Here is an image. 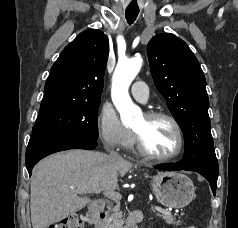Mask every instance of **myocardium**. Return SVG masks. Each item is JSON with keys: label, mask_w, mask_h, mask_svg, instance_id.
<instances>
[{"label": "myocardium", "mask_w": 238, "mask_h": 228, "mask_svg": "<svg viewBox=\"0 0 238 228\" xmlns=\"http://www.w3.org/2000/svg\"><path fill=\"white\" fill-rule=\"evenodd\" d=\"M144 115L147 119H150V120L165 119V120L169 121L172 124V126L174 127V130L176 132L177 147H176L175 151L168 156L154 155L147 150V148L142 140V137L136 131L133 130V136H134V141H135L137 151L142 156H144L150 160H154V161H158V162H168V161H172V160L176 159L181 154L183 147H184V135H183L182 128H181L180 124L178 123V121L171 114L163 112V111H148Z\"/></svg>", "instance_id": "myocardium-1"}]
</instances>
